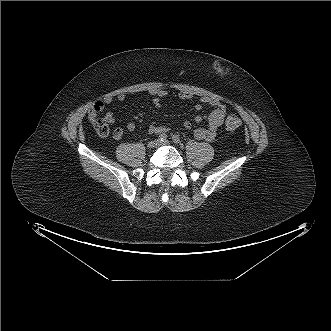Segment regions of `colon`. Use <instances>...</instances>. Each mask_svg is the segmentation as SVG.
<instances>
[{
  "instance_id": "1",
  "label": "colon",
  "mask_w": 331,
  "mask_h": 331,
  "mask_svg": "<svg viewBox=\"0 0 331 331\" xmlns=\"http://www.w3.org/2000/svg\"><path fill=\"white\" fill-rule=\"evenodd\" d=\"M92 123H93L97 133L100 136H102V137L108 136L109 128L106 123H104L103 121L98 120V119H93ZM240 124H241L240 119L237 116L230 114L226 117L225 126L228 130L234 131L240 127Z\"/></svg>"
}]
</instances>
